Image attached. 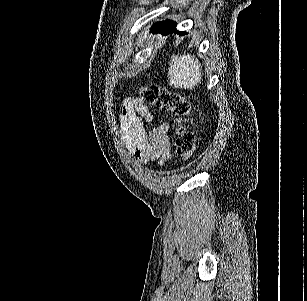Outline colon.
Here are the masks:
<instances>
[{"label": "colon", "mask_w": 307, "mask_h": 301, "mask_svg": "<svg viewBox=\"0 0 307 301\" xmlns=\"http://www.w3.org/2000/svg\"><path fill=\"white\" fill-rule=\"evenodd\" d=\"M139 94L145 102L171 115L175 152L180 159H189L195 150V137L183 124L190 111L189 102L179 93L155 84L141 86Z\"/></svg>", "instance_id": "colon-1"}]
</instances>
